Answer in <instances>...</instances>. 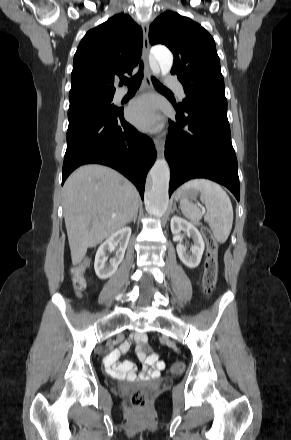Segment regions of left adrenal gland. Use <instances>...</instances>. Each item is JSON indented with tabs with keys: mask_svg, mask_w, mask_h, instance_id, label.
Wrapping results in <instances>:
<instances>
[{
	"mask_svg": "<svg viewBox=\"0 0 291 440\" xmlns=\"http://www.w3.org/2000/svg\"><path fill=\"white\" fill-rule=\"evenodd\" d=\"M174 210H177L176 204L174 205Z\"/></svg>",
	"mask_w": 291,
	"mask_h": 440,
	"instance_id": "1",
	"label": "left adrenal gland"
}]
</instances>
